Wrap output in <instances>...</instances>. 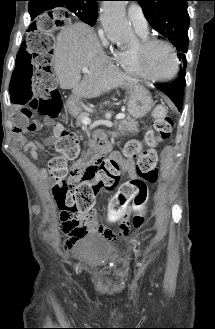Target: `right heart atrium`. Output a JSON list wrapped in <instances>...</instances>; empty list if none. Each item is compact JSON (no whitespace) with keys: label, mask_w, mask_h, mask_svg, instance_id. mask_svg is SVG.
Listing matches in <instances>:
<instances>
[{"label":"right heart atrium","mask_w":215,"mask_h":329,"mask_svg":"<svg viewBox=\"0 0 215 329\" xmlns=\"http://www.w3.org/2000/svg\"><path fill=\"white\" fill-rule=\"evenodd\" d=\"M98 35H99V38H100L101 43L103 44V46L106 47V48H110L111 47L110 41H109L108 37L106 36L105 32L103 31V29H100L98 31ZM112 54L115 57L116 52L112 51Z\"/></svg>","instance_id":"obj_1"}]
</instances>
